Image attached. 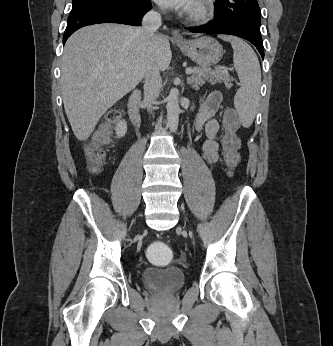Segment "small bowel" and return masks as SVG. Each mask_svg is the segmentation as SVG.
Here are the masks:
<instances>
[{
  "label": "small bowel",
  "instance_id": "c3829d8e",
  "mask_svg": "<svg viewBox=\"0 0 333 346\" xmlns=\"http://www.w3.org/2000/svg\"><path fill=\"white\" fill-rule=\"evenodd\" d=\"M221 93L218 91L211 92L203 97L195 119V128L204 129L206 140L203 143V157L208 163H214L218 159L219 144L217 133L219 123L213 118L221 103Z\"/></svg>",
  "mask_w": 333,
  "mask_h": 346
}]
</instances>
